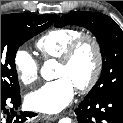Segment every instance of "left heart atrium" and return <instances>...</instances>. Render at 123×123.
I'll return each instance as SVG.
<instances>
[{
	"label": "left heart atrium",
	"mask_w": 123,
	"mask_h": 123,
	"mask_svg": "<svg viewBox=\"0 0 123 123\" xmlns=\"http://www.w3.org/2000/svg\"><path fill=\"white\" fill-rule=\"evenodd\" d=\"M74 97V85L67 77L50 81L26 97L32 110L42 113H57L63 110Z\"/></svg>",
	"instance_id": "1"
}]
</instances>
